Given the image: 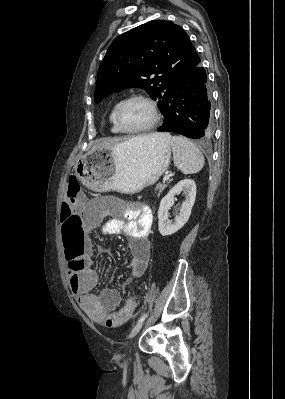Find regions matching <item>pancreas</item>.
<instances>
[{"label": "pancreas", "mask_w": 285, "mask_h": 399, "mask_svg": "<svg viewBox=\"0 0 285 399\" xmlns=\"http://www.w3.org/2000/svg\"><path fill=\"white\" fill-rule=\"evenodd\" d=\"M168 184H169L168 182L160 183L156 186L155 190L158 191L159 193H162L166 189Z\"/></svg>", "instance_id": "cf45deb5"}]
</instances>
